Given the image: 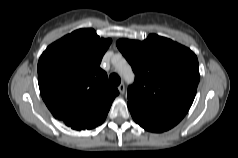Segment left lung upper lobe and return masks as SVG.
Wrapping results in <instances>:
<instances>
[{
  "label": "left lung upper lobe",
  "mask_w": 238,
  "mask_h": 158,
  "mask_svg": "<svg viewBox=\"0 0 238 158\" xmlns=\"http://www.w3.org/2000/svg\"><path fill=\"white\" fill-rule=\"evenodd\" d=\"M116 44L135 73L128 104L151 114L188 112L199 83L198 59L190 49L155 34Z\"/></svg>",
  "instance_id": "obj_1"
}]
</instances>
